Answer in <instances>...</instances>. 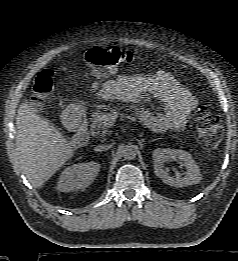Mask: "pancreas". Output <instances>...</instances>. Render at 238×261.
<instances>
[{
  "instance_id": "pancreas-1",
  "label": "pancreas",
  "mask_w": 238,
  "mask_h": 261,
  "mask_svg": "<svg viewBox=\"0 0 238 261\" xmlns=\"http://www.w3.org/2000/svg\"><path fill=\"white\" fill-rule=\"evenodd\" d=\"M105 113L97 109L92 113L90 132L92 136L103 137L108 134L107 125L104 124L103 116Z\"/></svg>"
}]
</instances>
